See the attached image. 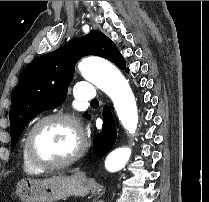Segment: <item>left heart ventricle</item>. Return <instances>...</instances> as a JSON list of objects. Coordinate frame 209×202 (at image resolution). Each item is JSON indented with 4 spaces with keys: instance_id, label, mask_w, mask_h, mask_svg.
<instances>
[{
    "instance_id": "1",
    "label": "left heart ventricle",
    "mask_w": 209,
    "mask_h": 202,
    "mask_svg": "<svg viewBox=\"0 0 209 202\" xmlns=\"http://www.w3.org/2000/svg\"><path fill=\"white\" fill-rule=\"evenodd\" d=\"M78 144V133L63 121H49L33 135L32 151L43 162L53 163L69 157Z\"/></svg>"
}]
</instances>
